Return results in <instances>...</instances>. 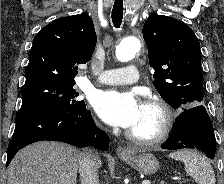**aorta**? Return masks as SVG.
<instances>
[{
  "label": "aorta",
  "mask_w": 224,
  "mask_h": 184,
  "mask_svg": "<svg viewBox=\"0 0 224 184\" xmlns=\"http://www.w3.org/2000/svg\"><path fill=\"white\" fill-rule=\"evenodd\" d=\"M140 47L141 43L137 38H125L116 46V57L121 62L130 61L135 57Z\"/></svg>",
  "instance_id": "762f6f07"
}]
</instances>
